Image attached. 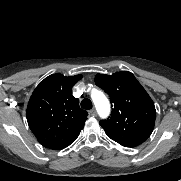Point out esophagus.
Listing matches in <instances>:
<instances>
[{"label":"esophagus","instance_id":"34e87169","mask_svg":"<svg viewBox=\"0 0 181 181\" xmlns=\"http://www.w3.org/2000/svg\"><path fill=\"white\" fill-rule=\"evenodd\" d=\"M89 114L94 117L96 116L97 113H96V110L93 108L89 111Z\"/></svg>","mask_w":181,"mask_h":181}]
</instances>
